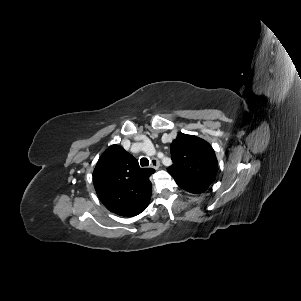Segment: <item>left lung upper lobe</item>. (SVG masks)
I'll return each instance as SVG.
<instances>
[{
	"mask_svg": "<svg viewBox=\"0 0 301 301\" xmlns=\"http://www.w3.org/2000/svg\"><path fill=\"white\" fill-rule=\"evenodd\" d=\"M173 164L167 169L182 189L199 194L214 182L218 162L211 145L205 140L179 134L170 146Z\"/></svg>",
	"mask_w": 301,
	"mask_h": 301,
	"instance_id": "left-lung-upper-lobe-1",
	"label": "left lung upper lobe"
}]
</instances>
